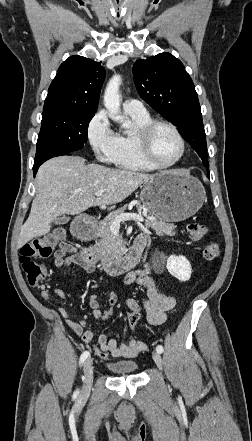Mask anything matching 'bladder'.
<instances>
[{
    "mask_svg": "<svg viewBox=\"0 0 252 441\" xmlns=\"http://www.w3.org/2000/svg\"><path fill=\"white\" fill-rule=\"evenodd\" d=\"M107 369L116 376H125L133 374L138 369V364L134 361L111 363Z\"/></svg>",
    "mask_w": 252,
    "mask_h": 441,
    "instance_id": "31cf9c89",
    "label": "bladder"
}]
</instances>
